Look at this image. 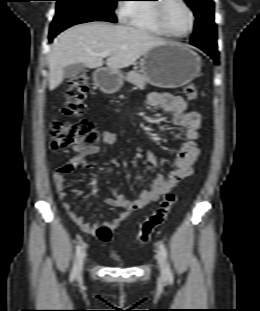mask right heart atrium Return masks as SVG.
<instances>
[{
  "label": "right heart atrium",
  "instance_id": "right-heart-atrium-1",
  "mask_svg": "<svg viewBox=\"0 0 260 311\" xmlns=\"http://www.w3.org/2000/svg\"><path fill=\"white\" fill-rule=\"evenodd\" d=\"M125 11V6L121 5L118 11L120 17L123 18V12Z\"/></svg>",
  "mask_w": 260,
  "mask_h": 311
}]
</instances>
